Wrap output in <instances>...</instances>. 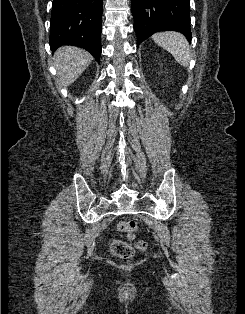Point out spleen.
I'll return each mask as SVG.
<instances>
[{
  "instance_id": "1",
  "label": "spleen",
  "mask_w": 245,
  "mask_h": 314,
  "mask_svg": "<svg viewBox=\"0 0 245 314\" xmlns=\"http://www.w3.org/2000/svg\"><path fill=\"white\" fill-rule=\"evenodd\" d=\"M153 41L172 54L174 59L183 67H188L191 59V50L186 38L174 31L156 33Z\"/></svg>"
}]
</instances>
